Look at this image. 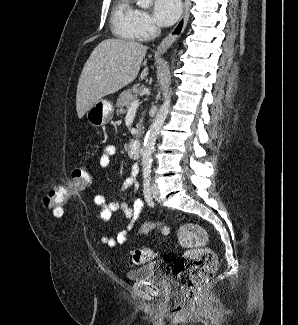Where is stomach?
Segmentation results:
<instances>
[{
	"instance_id": "stomach-1",
	"label": "stomach",
	"mask_w": 298,
	"mask_h": 325,
	"mask_svg": "<svg viewBox=\"0 0 298 325\" xmlns=\"http://www.w3.org/2000/svg\"><path fill=\"white\" fill-rule=\"evenodd\" d=\"M115 106L111 100H99L86 112L87 120L93 126H104L113 118Z\"/></svg>"
}]
</instances>
